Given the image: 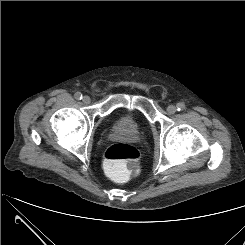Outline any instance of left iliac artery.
Returning a JSON list of instances; mask_svg holds the SVG:
<instances>
[{
    "mask_svg": "<svg viewBox=\"0 0 245 245\" xmlns=\"http://www.w3.org/2000/svg\"><path fill=\"white\" fill-rule=\"evenodd\" d=\"M185 109V104L184 103H178L177 104V110L178 111H183Z\"/></svg>",
    "mask_w": 245,
    "mask_h": 245,
    "instance_id": "left-iliac-artery-1",
    "label": "left iliac artery"
}]
</instances>
